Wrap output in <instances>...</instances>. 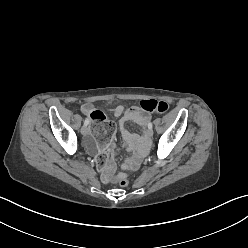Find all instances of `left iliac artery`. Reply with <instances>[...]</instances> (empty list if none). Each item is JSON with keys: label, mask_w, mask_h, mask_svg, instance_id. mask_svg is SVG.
Returning a JSON list of instances; mask_svg holds the SVG:
<instances>
[{"label": "left iliac artery", "mask_w": 248, "mask_h": 248, "mask_svg": "<svg viewBox=\"0 0 248 248\" xmlns=\"http://www.w3.org/2000/svg\"><path fill=\"white\" fill-rule=\"evenodd\" d=\"M148 128L152 129V123L151 122L148 123Z\"/></svg>", "instance_id": "obj_1"}]
</instances>
